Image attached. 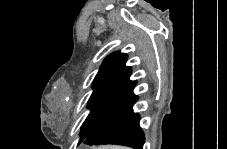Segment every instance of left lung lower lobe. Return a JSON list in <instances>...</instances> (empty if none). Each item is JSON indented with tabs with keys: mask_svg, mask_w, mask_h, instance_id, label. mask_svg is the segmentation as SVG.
Here are the masks:
<instances>
[{
	"mask_svg": "<svg viewBox=\"0 0 227 149\" xmlns=\"http://www.w3.org/2000/svg\"><path fill=\"white\" fill-rule=\"evenodd\" d=\"M134 81L82 143L87 145L117 144L143 149L144 133L140 128V116L132 110L138 97L133 93Z\"/></svg>",
	"mask_w": 227,
	"mask_h": 149,
	"instance_id": "obj_1",
	"label": "left lung lower lobe"
}]
</instances>
